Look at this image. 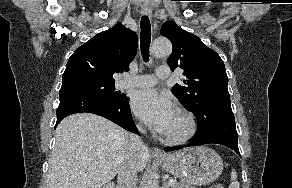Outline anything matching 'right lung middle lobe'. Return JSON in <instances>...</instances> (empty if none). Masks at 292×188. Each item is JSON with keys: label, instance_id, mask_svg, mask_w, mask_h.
Returning <instances> with one entry per match:
<instances>
[{"label": "right lung middle lobe", "instance_id": "dd1d6c3e", "mask_svg": "<svg viewBox=\"0 0 292 188\" xmlns=\"http://www.w3.org/2000/svg\"><path fill=\"white\" fill-rule=\"evenodd\" d=\"M115 81L101 80L95 78H72L62 80L60 92L66 90H80L90 93L105 102L112 104L121 103L126 96L115 91Z\"/></svg>", "mask_w": 292, "mask_h": 188}]
</instances>
